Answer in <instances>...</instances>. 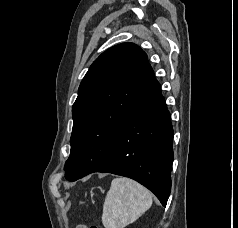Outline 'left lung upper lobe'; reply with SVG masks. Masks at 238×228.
<instances>
[{
	"label": "left lung upper lobe",
	"instance_id": "obj_1",
	"mask_svg": "<svg viewBox=\"0 0 238 228\" xmlns=\"http://www.w3.org/2000/svg\"><path fill=\"white\" fill-rule=\"evenodd\" d=\"M153 70L145 52L122 43L103 52L83 78L73 104L66 179L91 171L110 154Z\"/></svg>",
	"mask_w": 238,
	"mask_h": 228
}]
</instances>
